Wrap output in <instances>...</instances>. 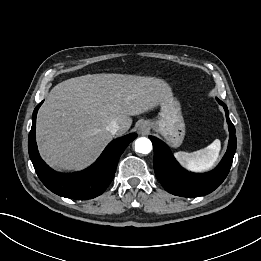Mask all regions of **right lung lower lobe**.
Segmentation results:
<instances>
[{
    "label": "right lung lower lobe",
    "instance_id": "obj_1",
    "mask_svg": "<svg viewBox=\"0 0 261 261\" xmlns=\"http://www.w3.org/2000/svg\"><path fill=\"white\" fill-rule=\"evenodd\" d=\"M42 102L32 115V127L28 138V151L34 169L42 183L53 193L76 200L92 199L101 195L112 181L118 160L128 144L136 139L131 133L113 140L98 160L86 170L71 174L55 172L41 159L35 139L36 115Z\"/></svg>",
    "mask_w": 261,
    "mask_h": 261
}]
</instances>
